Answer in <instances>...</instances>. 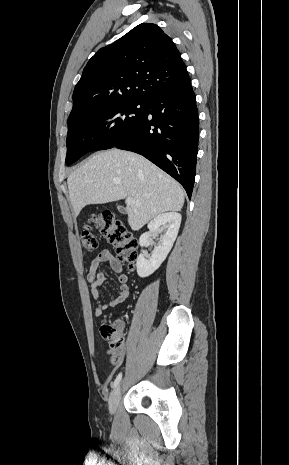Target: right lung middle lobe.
Instances as JSON below:
<instances>
[{"instance_id":"right-lung-middle-lobe-1","label":"right lung middle lobe","mask_w":289,"mask_h":465,"mask_svg":"<svg viewBox=\"0 0 289 465\" xmlns=\"http://www.w3.org/2000/svg\"><path fill=\"white\" fill-rule=\"evenodd\" d=\"M145 100H118L88 105L81 120L68 129L66 164L94 150L112 148L143 119Z\"/></svg>"}]
</instances>
